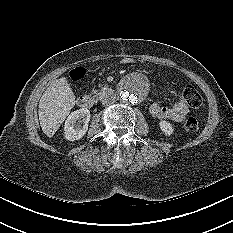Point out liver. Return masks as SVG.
I'll use <instances>...</instances> for the list:
<instances>
[{"label":"liver","mask_w":233,"mask_h":233,"mask_svg":"<svg viewBox=\"0 0 233 233\" xmlns=\"http://www.w3.org/2000/svg\"><path fill=\"white\" fill-rule=\"evenodd\" d=\"M75 105V95L65 77L53 80L39 101V121L46 136L52 137Z\"/></svg>","instance_id":"obj_1"}]
</instances>
